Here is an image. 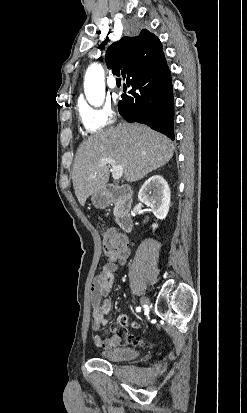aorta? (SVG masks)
Returning a JSON list of instances; mask_svg holds the SVG:
<instances>
[{
    "instance_id": "aorta-1",
    "label": "aorta",
    "mask_w": 247,
    "mask_h": 413,
    "mask_svg": "<svg viewBox=\"0 0 247 413\" xmlns=\"http://www.w3.org/2000/svg\"><path fill=\"white\" fill-rule=\"evenodd\" d=\"M84 91L88 102L91 105L99 106L105 97L104 70L98 64H92L85 75Z\"/></svg>"
}]
</instances>
